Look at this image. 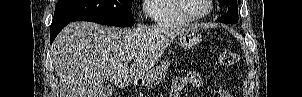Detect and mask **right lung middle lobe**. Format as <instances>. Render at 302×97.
Listing matches in <instances>:
<instances>
[{"mask_svg": "<svg viewBox=\"0 0 302 97\" xmlns=\"http://www.w3.org/2000/svg\"><path fill=\"white\" fill-rule=\"evenodd\" d=\"M132 1L59 0L51 27L73 21H90L119 27L133 26L135 20L131 13Z\"/></svg>", "mask_w": 302, "mask_h": 97, "instance_id": "1", "label": "right lung middle lobe"}]
</instances>
